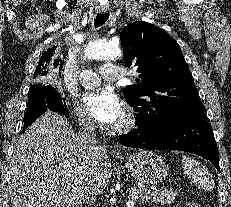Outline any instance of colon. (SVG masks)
Segmentation results:
<instances>
[{
	"label": "colon",
	"instance_id": "5ec220e1",
	"mask_svg": "<svg viewBox=\"0 0 231 207\" xmlns=\"http://www.w3.org/2000/svg\"><path fill=\"white\" fill-rule=\"evenodd\" d=\"M187 207H200L195 201H190L187 203Z\"/></svg>",
	"mask_w": 231,
	"mask_h": 207
}]
</instances>
